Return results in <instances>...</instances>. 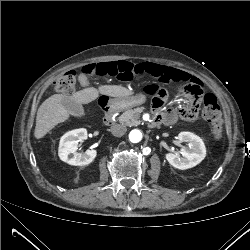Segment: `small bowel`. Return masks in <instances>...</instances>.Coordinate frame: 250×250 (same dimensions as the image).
Masks as SVG:
<instances>
[{"label": "small bowel", "instance_id": "small-bowel-1", "mask_svg": "<svg viewBox=\"0 0 250 250\" xmlns=\"http://www.w3.org/2000/svg\"><path fill=\"white\" fill-rule=\"evenodd\" d=\"M139 65H141L145 69V71L159 76L165 81L177 82L183 92L188 93V91L190 90L199 91V94L197 96H194L196 97V99L192 100V102L187 104L178 112L174 108L168 107L166 105L167 93L165 90H160L158 93L159 97L154 98L153 100V117H158L159 120L166 125L174 124L179 116L188 121L192 120L195 117L197 108L199 107V101L197 100V98H199V96L204 93L202 83L197 77L182 70L152 61H146ZM79 81L82 85H85L87 83L86 76L84 74H80Z\"/></svg>", "mask_w": 250, "mask_h": 250}]
</instances>
